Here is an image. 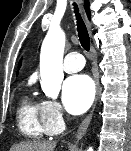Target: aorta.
<instances>
[{"label":"aorta","mask_w":131,"mask_h":151,"mask_svg":"<svg viewBox=\"0 0 131 151\" xmlns=\"http://www.w3.org/2000/svg\"><path fill=\"white\" fill-rule=\"evenodd\" d=\"M64 46V32L61 29L51 28L44 39L40 56L41 87L51 98L58 96L63 81ZM88 151H93V148L89 147Z\"/></svg>","instance_id":"1"}]
</instances>
